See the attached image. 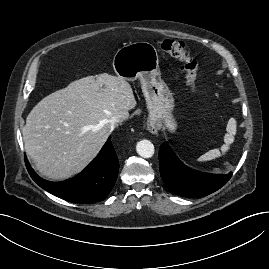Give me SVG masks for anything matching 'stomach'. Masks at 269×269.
Masks as SVG:
<instances>
[{"instance_id":"stomach-1","label":"stomach","mask_w":269,"mask_h":269,"mask_svg":"<svg viewBox=\"0 0 269 269\" xmlns=\"http://www.w3.org/2000/svg\"><path fill=\"white\" fill-rule=\"evenodd\" d=\"M115 73L128 81L140 80L145 96L149 119L175 132L177 122L173 115L174 98L161 79L159 57L149 42H134L121 47L113 58Z\"/></svg>"}]
</instances>
